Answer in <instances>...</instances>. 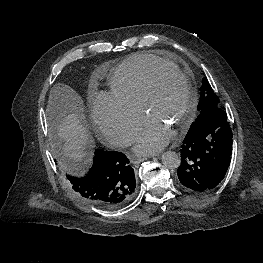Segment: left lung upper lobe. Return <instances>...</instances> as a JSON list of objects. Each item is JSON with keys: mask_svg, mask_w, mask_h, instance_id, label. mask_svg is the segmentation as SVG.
I'll use <instances>...</instances> for the list:
<instances>
[{"mask_svg": "<svg viewBox=\"0 0 263 263\" xmlns=\"http://www.w3.org/2000/svg\"><path fill=\"white\" fill-rule=\"evenodd\" d=\"M220 108L219 98L214 93L208 80L203 78L202 88L200 93V102L198 104L199 115L196 120L192 123L189 131H194L204 118L211 114L215 109Z\"/></svg>", "mask_w": 263, "mask_h": 263, "instance_id": "left-lung-upper-lobe-1", "label": "left lung upper lobe"}]
</instances>
